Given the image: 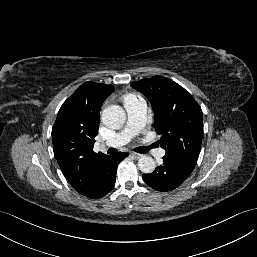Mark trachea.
I'll list each match as a JSON object with an SVG mask.
<instances>
[{
    "mask_svg": "<svg viewBox=\"0 0 257 257\" xmlns=\"http://www.w3.org/2000/svg\"><path fill=\"white\" fill-rule=\"evenodd\" d=\"M154 147H155V144H153L151 146H141V147L134 148V151L138 152V153L145 154L149 151V149L154 148ZM116 152H117V150L114 149V148H109L108 151H107L108 154H113V153H116Z\"/></svg>",
    "mask_w": 257,
    "mask_h": 257,
    "instance_id": "trachea-1",
    "label": "trachea"
}]
</instances>
